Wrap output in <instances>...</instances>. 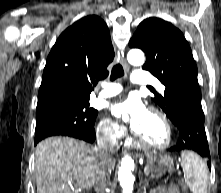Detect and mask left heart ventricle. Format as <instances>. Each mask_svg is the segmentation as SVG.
I'll list each match as a JSON object with an SVG mask.
<instances>
[{"label": "left heart ventricle", "instance_id": "obj_1", "mask_svg": "<svg viewBox=\"0 0 221 193\" xmlns=\"http://www.w3.org/2000/svg\"><path fill=\"white\" fill-rule=\"evenodd\" d=\"M135 130L154 144H163L167 139L164 123L156 114L150 111Z\"/></svg>", "mask_w": 221, "mask_h": 193}]
</instances>
